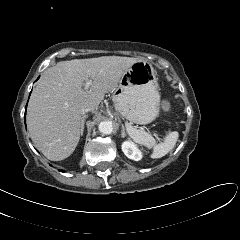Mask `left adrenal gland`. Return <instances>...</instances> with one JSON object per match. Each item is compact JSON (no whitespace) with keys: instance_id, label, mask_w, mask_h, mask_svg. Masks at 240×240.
Listing matches in <instances>:
<instances>
[{"instance_id":"1","label":"left adrenal gland","mask_w":240,"mask_h":240,"mask_svg":"<svg viewBox=\"0 0 240 240\" xmlns=\"http://www.w3.org/2000/svg\"><path fill=\"white\" fill-rule=\"evenodd\" d=\"M121 136H122L123 138L126 136L125 127H124L123 124H122Z\"/></svg>"}]
</instances>
